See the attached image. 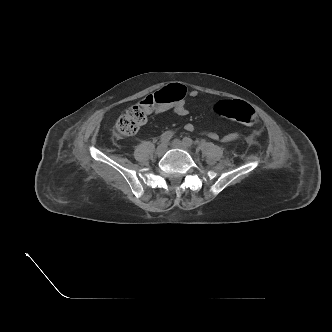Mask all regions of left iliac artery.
Listing matches in <instances>:
<instances>
[{
	"label": "left iliac artery",
	"instance_id": "1",
	"mask_svg": "<svg viewBox=\"0 0 332 332\" xmlns=\"http://www.w3.org/2000/svg\"><path fill=\"white\" fill-rule=\"evenodd\" d=\"M183 142H184L185 144H187L188 146H191V145L193 144L192 139L189 138V137H184V138H183Z\"/></svg>",
	"mask_w": 332,
	"mask_h": 332
}]
</instances>
